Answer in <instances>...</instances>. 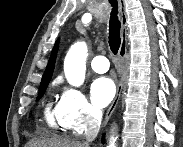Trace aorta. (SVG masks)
Instances as JSON below:
<instances>
[{"label": "aorta", "mask_w": 183, "mask_h": 147, "mask_svg": "<svg viewBox=\"0 0 183 147\" xmlns=\"http://www.w3.org/2000/svg\"><path fill=\"white\" fill-rule=\"evenodd\" d=\"M87 53V44L80 41L71 46L65 57V77L68 83L74 87H79L84 83ZM115 142L116 138L112 136L108 147H115Z\"/></svg>", "instance_id": "762f6f07"}]
</instances>
